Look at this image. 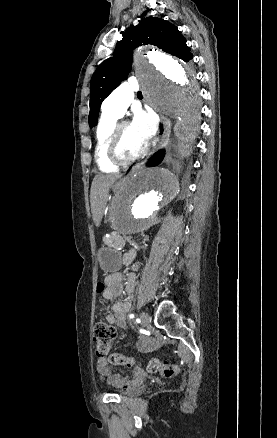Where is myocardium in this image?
<instances>
[{
  "label": "myocardium",
  "mask_w": 277,
  "mask_h": 438,
  "mask_svg": "<svg viewBox=\"0 0 277 438\" xmlns=\"http://www.w3.org/2000/svg\"><path fill=\"white\" fill-rule=\"evenodd\" d=\"M130 125L128 121L118 122L111 131L107 146L108 157L111 162L118 166H128L140 160L146 152V147L136 156L125 157L121 151V132L124 126Z\"/></svg>",
  "instance_id": "1"
}]
</instances>
